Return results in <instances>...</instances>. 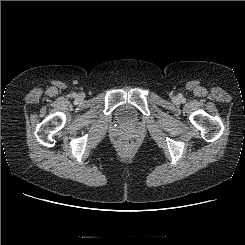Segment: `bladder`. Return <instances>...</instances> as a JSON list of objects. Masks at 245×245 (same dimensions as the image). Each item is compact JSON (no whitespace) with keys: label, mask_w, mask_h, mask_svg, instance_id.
I'll return each mask as SVG.
<instances>
[{"label":"bladder","mask_w":245,"mask_h":245,"mask_svg":"<svg viewBox=\"0 0 245 245\" xmlns=\"http://www.w3.org/2000/svg\"><path fill=\"white\" fill-rule=\"evenodd\" d=\"M131 110L130 108L128 107H123L121 110H120V116H121V120L124 122V123H129L131 121Z\"/></svg>","instance_id":"1"}]
</instances>
